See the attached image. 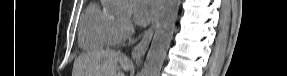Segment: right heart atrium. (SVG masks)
Segmentation results:
<instances>
[{
	"instance_id": "right-heart-atrium-1",
	"label": "right heart atrium",
	"mask_w": 287,
	"mask_h": 76,
	"mask_svg": "<svg viewBox=\"0 0 287 76\" xmlns=\"http://www.w3.org/2000/svg\"><path fill=\"white\" fill-rule=\"evenodd\" d=\"M114 33L118 42L128 39L133 33L131 21L126 18L116 19Z\"/></svg>"
}]
</instances>
